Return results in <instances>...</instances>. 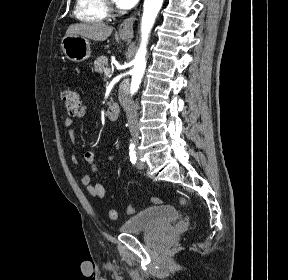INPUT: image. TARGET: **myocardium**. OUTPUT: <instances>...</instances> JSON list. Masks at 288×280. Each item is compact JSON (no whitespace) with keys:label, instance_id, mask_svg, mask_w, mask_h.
<instances>
[{"label":"myocardium","instance_id":"1","mask_svg":"<svg viewBox=\"0 0 288 280\" xmlns=\"http://www.w3.org/2000/svg\"><path fill=\"white\" fill-rule=\"evenodd\" d=\"M107 6L111 4V0H105Z\"/></svg>","mask_w":288,"mask_h":280}]
</instances>
